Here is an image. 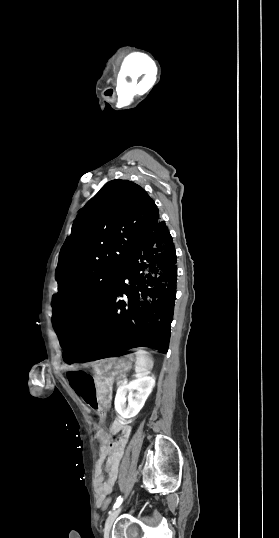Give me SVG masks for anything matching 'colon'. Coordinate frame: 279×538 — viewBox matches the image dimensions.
<instances>
[{"label":"colon","instance_id":"obj_1","mask_svg":"<svg viewBox=\"0 0 279 538\" xmlns=\"http://www.w3.org/2000/svg\"><path fill=\"white\" fill-rule=\"evenodd\" d=\"M111 504V500L109 498H106L103 502H102V508L103 509H107Z\"/></svg>","mask_w":279,"mask_h":538}]
</instances>
